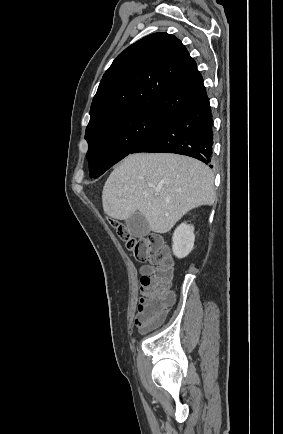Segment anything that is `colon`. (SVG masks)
I'll use <instances>...</instances> for the list:
<instances>
[{"instance_id": "obj_1", "label": "colon", "mask_w": 283, "mask_h": 434, "mask_svg": "<svg viewBox=\"0 0 283 434\" xmlns=\"http://www.w3.org/2000/svg\"><path fill=\"white\" fill-rule=\"evenodd\" d=\"M111 224L136 260L153 265L151 272L140 279L141 297L135 319L136 325L142 331L150 330L162 321L174 298L170 291L172 260L162 240L157 236L134 237L117 221L111 220Z\"/></svg>"}]
</instances>
